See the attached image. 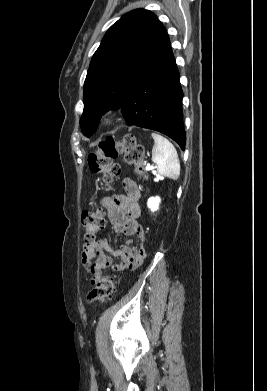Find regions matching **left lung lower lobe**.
<instances>
[{"label": "left lung lower lobe", "mask_w": 267, "mask_h": 391, "mask_svg": "<svg viewBox=\"0 0 267 391\" xmlns=\"http://www.w3.org/2000/svg\"><path fill=\"white\" fill-rule=\"evenodd\" d=\"M182 98L179 71L169 46L136 83L121 108L128 126L161 132L184 150Z\"/></svg>", "instance_id": "obj_1"}]
</instances>
